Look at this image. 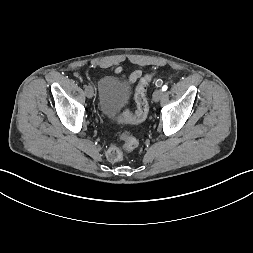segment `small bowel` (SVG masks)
Returning <instances> with one entry per match:
<instances>
[{"label":"small bowel","mask_w":253,"mask_h":253,"mask_svg":"<svg viewBox=\"0 0 253 253\" xmlns=\"http://www.w3.org/2000/svg\"><path fill=\"white\" fill-rule=\"evenodd\" d=\"M115 72H116L117 74H120V75L123 74V72H122V70H121L120 68H117V69L115 70ZM140 76H141V71L136 70V71H134V72H132V73H130V74L128 75V77H127L128 82H129L130 84H131V83H134Z\"/></svg>","instance_id":"small-bowel-1"}]
</instances>
